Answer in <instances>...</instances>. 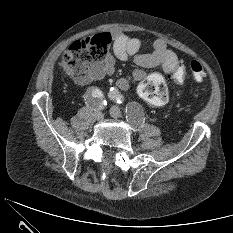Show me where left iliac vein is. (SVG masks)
<instances>
[{
	"label": "left iliac vein",
	"mask_w": 233,
	"mask_h": 233,
	"mask_svg": "<svg viewBox=\"0 0 233 233\" xmlns=\"http://www.w3.org/2000/svg\"><path fill=\"white\" fill-rule=\"evenodd\" d=\"M110 115L113 118H120V117H122V112H121V110L117 106H112L110 108ZM129 123L132 126V128L134 129V131L137 130L138 125H137V123L134 120L131 119L129 121Z\"/></svg>",
	"instance_id": "4c4485c4"
}]
</instances>
